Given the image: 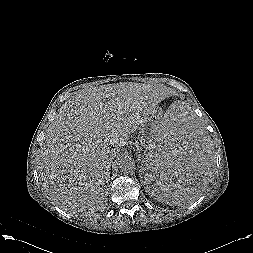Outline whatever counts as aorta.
<instances>
[{"instance_id":"obj_1","label":"aorta","mask_w":253,"mask_h":253,"mask_svg":"<svg viewBox=\"0 0 253 253\" xmlns=\"http://www.w3.org/2000/svg\"><path fill=\"white\" fill-rule=\"evenodd\" d=\"M118 165H119V170L122 173H130L135 168V162L129 156L121 157L120 160H119V162H118Z\"/></svg>"}]
</instances>
